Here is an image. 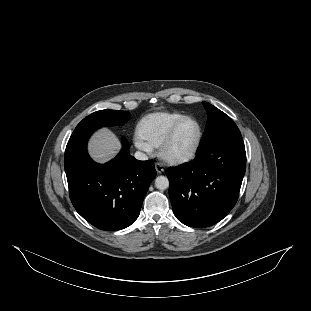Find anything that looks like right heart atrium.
Wrapping results in <instances>:
<instances>
[{
    "mask_svg": "<svg viewBox=\"0 0 311 311\" xmlns=\"http://www.w3.org/2000/svg\"><path fill=\"white\" fill-rule=\"evenodd\" d=\"M134 144H135V146H136L138 149H140V150H142V151H145V152H147V153H150V152H151V147H150L147 143H145L144 141H142L141 139H139L138 137H135V138H134Z\"/></svg>",
    "mask_w": 311,
    "mask_h": 311,
    "instance_id": "right-heart-atrium-1",
    "label": "right heart atrium"
}]
</instances>
